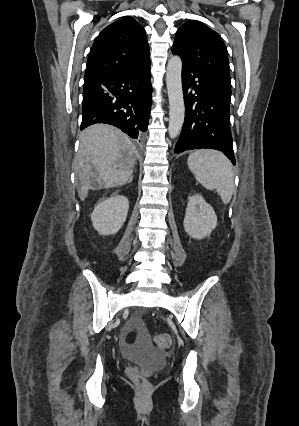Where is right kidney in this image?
<instances>
[{"label":"right kidney","instance_id":"ca27d5eb","mask_svg":"<svg viewBox=\"0 0 299 426\" xmlns=\"http://www.w3.org/2000/svg\"><path fill=\"white\" fill-rule=\"evenodd\" d=\"M129 209L128 199L119 194L102 200L94 208L91 221L100 235L116 234L126 221Z\"/></svg>","mask_w":299,"mask_h":426}]
</instances>
